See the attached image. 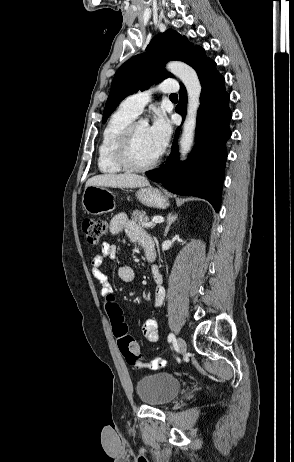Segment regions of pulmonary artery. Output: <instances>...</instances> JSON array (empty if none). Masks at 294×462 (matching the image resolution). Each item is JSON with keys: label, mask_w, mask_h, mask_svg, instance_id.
Segmentation results:
<instances>
[{"label": "pulmonary artery", "mask_w": 294, "mask_h": 462, "mask_svg": "<svg viewBox=\"0 0 294 462\" xmlns=\"http://www.w3.org/2000/svg\"><path fill=\"white\" fill-rule=\"evenodd\" d=\"M177 89L178 87L176 84L173 83V80L167 79L156 87L144 91H139L128 96L125 100H123L121 105L126 110L130 111L131 113L137 116L142 112L144 107L151 101L152 94L155 91H160L165 94H173L177 91Z\"/></svg>", "instance_id": "e3ab8cb5"}]
</instances>
